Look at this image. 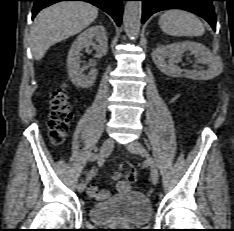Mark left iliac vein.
I'll list each match as a JSON object with an SVG mask.
<instances>
[{
	"label": "left iliac vein",
	"mask_w": 234,
	"mask_h": 231,
	"mask_svg": "<svg viewBox=\"0 0 234 231\" xmlns=\"http://www.w3.org/2000/svg\"><path fill=\"white\" fill-rule=\"evenodd\" d=\"M127 149L130 152L138 154L147 159L149 167H150V178H151L152 184L156 185L159 179V171H158L157 165L155 161L152 158H150L148 152L142 146V144L139 143L138 141H132L129 144H127Z\"/></svg>",
	"instance_id": "obj_1"
}]
</instances>
